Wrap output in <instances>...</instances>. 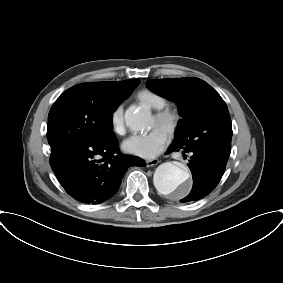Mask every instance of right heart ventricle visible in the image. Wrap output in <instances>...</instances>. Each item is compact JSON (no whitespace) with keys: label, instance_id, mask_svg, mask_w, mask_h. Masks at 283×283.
Segmentation results:
<instances>
[{"label":"right heart ventricle","instance_id":"obj_1","mask_svg":"<svg viewBox=\"0 0 283 283\" xmlns=\"http://www.w3.org/2000/svg\"><path fill=\"white\" fill-rule=\"evenodd\" d=\"M136 99L143 105H146L152 109L158 110L167 105V99L160 93L143 89L136 94Z\"/></svg>","mask_w":283,"mask_h":283}]
</instances>
